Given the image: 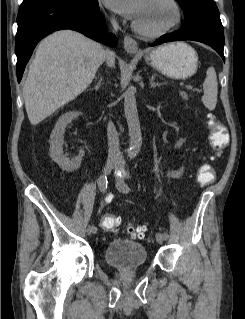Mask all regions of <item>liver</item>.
<instances>
[{"mask_svg": "<svg viewBox=\"0 0 245 319\" xmlns=\"http://www.w3.org/2000/svg\"><path fill=\"white\" fill-rule=\"evenodd\" d=\"M104 61L114 67V58L100 44L76 31H57L43 39L23 87L30 123L37 125L85 91Z\"/></svg>", "mask_w": 245, "mask_h": 319, "instance_id": "obj_1", "label": "liver"}]
</instances>
